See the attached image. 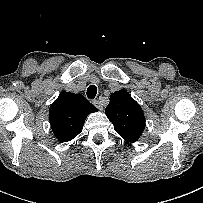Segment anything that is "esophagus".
I'll return each mask as SVG.
<instances>
[{
  "label": "esophagus",
  "mask_w": 203,
  "mask_h": 203,
  "mask_svg": "<svg viewBox=\"0 0 203 203\" xmlns=\"http://www.w3.org/2000/svg\"><path fill=\"white\" fill-rule=\"evenodd\" d=\"M92 104H93L95 107H97L99 110H102V109H103L101 103H100L98 100H93V101H92Z\"/></svg>",
  "instance_id": "esophagus-1"
}]
</instances>
